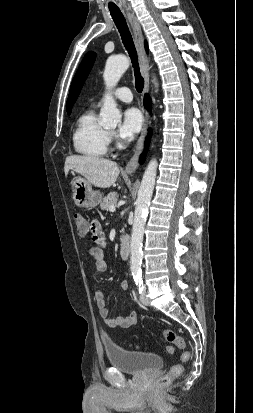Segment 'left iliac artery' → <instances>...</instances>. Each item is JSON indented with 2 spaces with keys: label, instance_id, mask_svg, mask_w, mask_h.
I'll list each match as a JSON object with an SVG mask.
<instances>
[{
  "label": "left iliac artery",
  "instance_id": "44dca946",
  "mask_svg": "<svg viewBox=\"0 0 253 413\" xmlns=\"http://www.w3.org/2000/svg\"><path fill=\"white\" fill-rule=\"evenodd\" d=\"M134 281L136 285L139 287V293H142L143 291V281H142V275L141 273H138L137 275H134Z\"/></svg>",
  "mask_w": 253,
  "mask_h": 413
}]
</instances>
